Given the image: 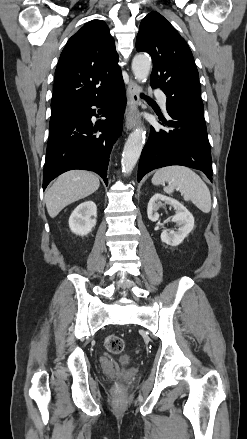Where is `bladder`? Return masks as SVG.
I'll return each instance as SVG.
<instances>
[{
    "instance_id": "obj_1",
    "label": "bladder",
    "mask_w": 247,
    "mask_h": 439,
    "mask_svg": "<svg viewBox=\"0 0 247 439\" xmlns=\"http://www.w3.org/2000/svg\"><path fill=\"white\" fill-rule=\"evenodd\" d=\"M122 364H128L131 362V357L129 355H124L120 358Z\"/></svg>"
}]
</instances>
